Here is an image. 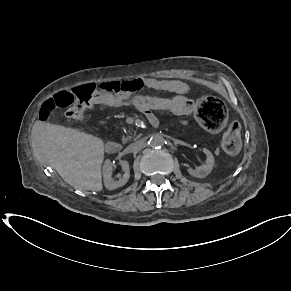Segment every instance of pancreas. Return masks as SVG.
I'll return each instance as SVG.
<instances>
[{
    "label": "pancreas",
    "instance_id": "cf45deb5",
    "mask_svg": "<svg viewBox=\"0 0 291 291\" xmlns=\"http://www.w3.org/2000/svg\"><path fill=\"white\" fill-rule=\"evenodd\" d=\"M128 140H129L128 137H123L122 142H123V143H126Z\"/></svg>",
    "mask_w": 291,
    "mask_h": 291
}]
</instances>
